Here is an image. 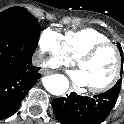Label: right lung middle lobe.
I'll list each match as a JSON object with an SVG mask.
<instances>
[{
    "mask_svg": "<svg viewBox=\"0 0 124 124\" xmlns=\"http://www.w3.org/2000/svg\"><path fill=\"white\" fill-rule=\"evenodd\" d=\"M38 28V19L22 7H11L0 13V32L24 33Z\"/></svg>",
    "mask_w": 124,
    "mask_h": 124,
    "instance_id": "1",
    "label": "right lung middle lobe"
}]
</instances>
